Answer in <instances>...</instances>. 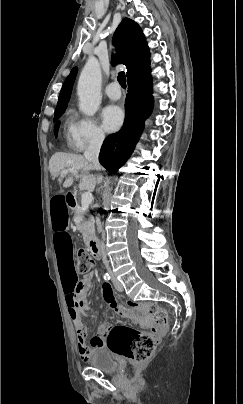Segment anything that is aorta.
<instances>
[{"label":"aorta","mask_w":243,"mask_h":404,"mask_svg":"<svg viewBox=\"0 0 243 404\" xmlns=\"http://www.w3.org/2000/svg\"><path fill=\"white\" fill-rule=\"evenodd\" d=\"M77 92L79 110L86 116H94L101 104V68L97 58L90 56L79 78Z\"/></svg>","instance_id":"aorta-1"}]
</instances>
